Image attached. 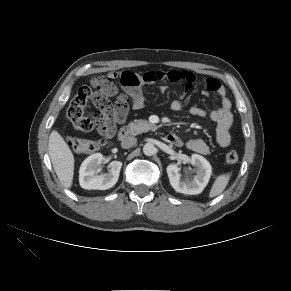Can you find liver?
<instances>
[{"instance_id": "obj_1", "label": "liver", "mask_w": 291, "mask_h": 291, "mask_svg": "<svg viewBox=\"0 0 291 291\" xmlns=\"http://www.w3.org/2000/svg\"><path fill=\"white\" fill-rule=\"evenodd\" d=\"M49 156L58 179L65 188L72 186L74 156L63 137L53 130L49 136Z\"/></svg>"}]
</instances>
